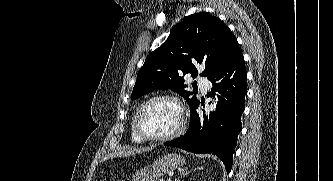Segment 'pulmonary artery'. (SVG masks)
<instances>
[{
	"instance_id": "e3ab8cb5",
	"label": "pulmonary artery",
	"mask_w": 333,
	"mask_h": 181,
	"mask_svg": "<svg viewBox=\"0 0 333 181\" xmlns=\"http://www.w3.org/2000/svg\"><path fill=\"white\" fill-rule=\"evenodd\" d=\"M200 88L207 90L209 88V82L206 77L202 76L198 78L197 81Z\"/></svg>"
}]
</instances>
